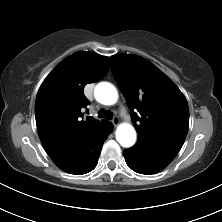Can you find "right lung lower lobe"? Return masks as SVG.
I'll return each instance as SVG.
<instances>
[{"label":"right lung lower lobe","instance_id":"obj_1","mask_svg":"<svg viewBox=\"0 0 222 222\" xmlns=\"http://www.w3.org/2000/svg\"><path fill=\"white\" fill-rule=\"evenodd\" d=\"M112 127H109L91 142V151L88 152L86 157H82L78 162L72 161L71 163H66L60 166V169L70 174H86L92 171L97 165L102 145L112 132Z\"/></svg>","mask_w":222,"mask_h":222}]
</instances>
